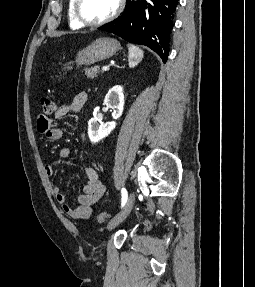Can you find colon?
Listing matches in <instances>:
<instances>
[{"instance_id": "5ec220e1", "label": "colon", "mask_w": 255, "mask_h": 287, "mask_svg": "<svg viewBox=\"0 0 255 287\" xmlns=\"http://www.w3.org/2000/svg\"><path fill=\"white\" fill-rule=\"evenodd\" d=\"M41 105H42V108H43V112L46 114V115H51L55 112L56 110V104L54 103L53 100L49 99V98H42L41 99ZM111 216L110 213H107V212H102V213H99L97 216H96V221L99 222V223H103L105 222L109 217Z\"/></svg>"}]
</instances>
